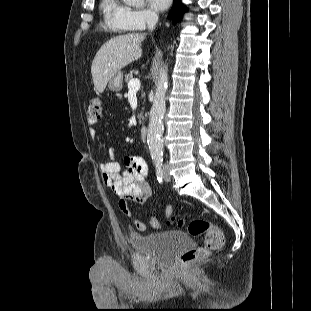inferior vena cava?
I'll list each match as a JSON object with an SVG mask.
<instances>
[{
	"label": "inferior vena cava",
	"instance_id": "1",
	"mask_svg": "<svg viewBox=\"0 0 311 311\" xmlns=\"http://www.w3.org/2000/svg\"><path fill=\"white\" fill-rule=\"evenodd\" d=\"M158 22V16L155 13H150L147 16V26H148V30L153 31V29H155V26Z\"/></svg>",
	"mask_w": 311,
	"mask_h": 311
}]
</instances>
